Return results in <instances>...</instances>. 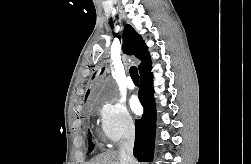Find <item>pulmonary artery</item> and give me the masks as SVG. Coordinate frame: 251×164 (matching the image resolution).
I'll return each instance as SVG.
<instances>
[{"instance_id":"pulmonary-artery-1","label":"pulmonary artery","mask_w":251,"mask_h":164,"mask_svg":"<svg viewBox=\"0 0 251 164\" xmlns=\"http://www.w3.org/2000/svg\"><path fill=\"white\" fill-rule=\"evenodd\" d=\"M126 85L131 90L135 88L134 82L130 77L127 78Z\"/></svg>"}]
</instances>
